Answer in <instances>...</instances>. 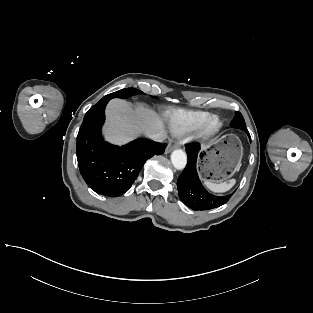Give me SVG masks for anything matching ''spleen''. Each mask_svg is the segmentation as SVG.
Masks as SVG:
<instances>
[{"instance_id": "3e777b00", "label": "spleen", "mask_w": 313, "mask_h": 313, "mask_svg": "<svg viewBox=\"0 0 313 313\" xmlns=\"http://www.w3.org/2000/svg\"><path fill=\"white\" fill-rule=\"evenodd\" d=\"M236 183L235 179H230L225 182H213L211 180H205L204 185L212 192L223 193L230 190Z\"/></svg>"}]
</instances>
